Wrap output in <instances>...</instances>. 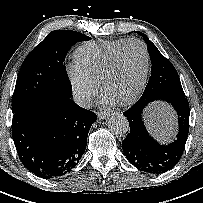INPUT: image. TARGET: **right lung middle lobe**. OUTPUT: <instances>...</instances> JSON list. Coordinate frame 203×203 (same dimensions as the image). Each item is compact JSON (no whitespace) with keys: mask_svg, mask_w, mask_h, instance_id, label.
I'll return each mask as SVG.
<instances>
[{"mask_svg":"<svg viewBox=\"0 0 203 203\" xmlns=\"http://www.w3.org/2000/svg\"><path fill=\"white\" fill-rule=\"evenodd\" d=\"M90 39L71 30L50 32L21 66L12 100L13 114L47 98L71 97L72 86L64 60L71 46Z\"/></svg>","mask_w":203,"mask_h":203,"instance_id":"1","label":"right lung middle lobe"}]
</instances>
